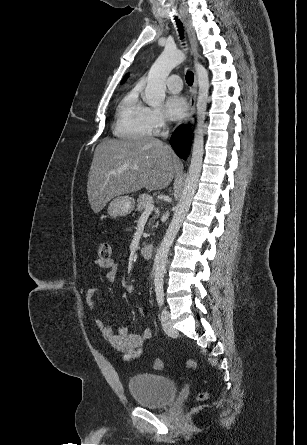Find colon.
I'll list each match as a JSON object with an SVG mask.
<instances>
[{"mask_svg":"<svg viewBox=\"0 0 307 445\" xmlns=\"http://www.w3.org/2000/svg\"><path fill=\"white\" fill-rule=\"evenodd\" d=\"M97 252L100 259H109L112 255V245L109 242H100L97 245ZM187 366L189 368H195L196 362L193 359H189L187 361ZM153 368L155 370H161L163 368V362L160 359H155L153 362ZM206 397L205 393H201L199 395L200 399H204Z\"/></svg>","mask_w":307,"mask_h":445,"instance_id":"5ec220e1","label":"colon"}]
</instances>
